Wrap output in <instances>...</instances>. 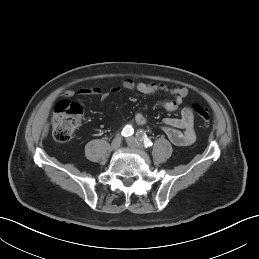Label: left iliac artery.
<instances>
[{"mask_svg": "<svg viewBox=\"0 0 259 259\" xmlns=\"http://www.w3.org/2000/svg\"><path fill=\"white\" fill-rule=\"evenodd\" d=\"M136 139L139 144L143 145L144 147H150L153 145L152 141L143 133H137Z\"/></svg>", "mask_w": 259, "mask_h": 259, "instance_id": "obj_1", "label": "left iliac artery"}]
</instances>
